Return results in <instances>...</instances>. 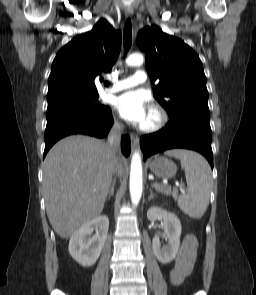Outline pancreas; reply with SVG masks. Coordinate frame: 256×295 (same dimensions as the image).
<instances>
[{
  "instance_id": "obj_1",
  "label": "pancreas",
  "mask_w": 256,
  "mask_h": 295,
  "mask_svg": "<svg viewBox=\"0 0 256 295\" xmlns=\"http://www.w3.org/2000/svg\"><path fill=\"white\" fill-rule=\"evenodd\" d=\"M153 187L159 193H162V194H165V195H172L174 199L178 198V191L176 189L172 190L170 187L163 186L162 184H158V183H156Z\"/></svg>"
}]
</instances>
